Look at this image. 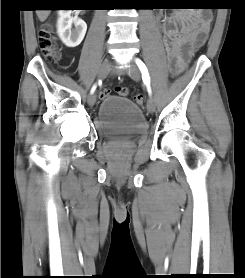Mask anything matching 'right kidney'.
Returning a JSON list of instances; mask_svg holds the SVG:
<instances>
[{
  "mask_svg": "<svg viewBox=\"0 0 245 278\" xmlns=\"http://www.w3.org/2000/svg\"><path fill=\"white\" fill-rule=\"evenodd\" d=\"M72 10H59L57 33L61 41L69 48L78 46L87 31V24L78 16H71Z\"/></svg>",
  "mask_w": 245,
  "mask_h": 278,
  "instance_id": "right-kidney-1",
  "label": "right kidney"
}]
</instances>
